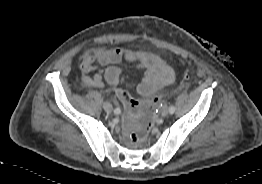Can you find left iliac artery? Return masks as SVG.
I'll return each mask as SVG.
<instances>
[{
	"mask_svg": "<svg viewBox=\"0 0 262 184\" xmlns=\"http://www.w3.org/2000/svg\"><path fill=\"white\" fill-rule=\"evenodd\" d=\"M175 112V107L173 106V105H171L170 107H169V113L170 114H173Z\"/></svg>",
	"mask_w": 262,
	"mask_h": 184,
	"instance_id": "left-iliac-artery-1",
	"label": "left iliac artery"
}]
</instances>
